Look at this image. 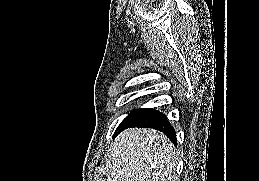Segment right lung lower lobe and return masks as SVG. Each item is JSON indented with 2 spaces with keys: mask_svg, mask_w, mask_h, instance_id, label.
Segmentation results:
<instances>
[{
  "mask_svg": "<svg viewBox=\"0 0 259 181\" xmlns=\"http://www.w3.org/2000/svg\"><path fill=\"white\" fill-rule=\"evenodd\" d=\"M153 128L163 132L175 145L177 142L175 130L166 116L153 109H146L135 121L115 131L114 137L127 128Z\"/></svg>",
  "mask_w": 259,
  "mask_h": 181,
  "instance_id": "obj_1",
  "label": "right lung lower lobe"
}]
</instances>
